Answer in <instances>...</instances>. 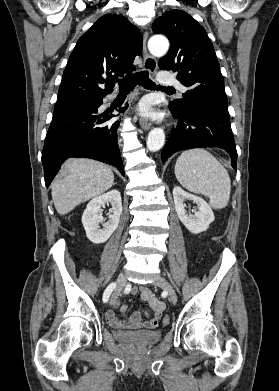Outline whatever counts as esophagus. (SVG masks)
Segmentation results:
<instances>
[{"mask_svg": "<svg viewBox=\"0 0 279 391\" xmlns=\"http://www.w3.org/2000/svg\"><path fill=\"white\" fill-rule=\"evenodd\" d=\"M147 37H148V33L145 32L143 37V67L146 71L150 73H154L157 70V61L153 56L147 53V48H146ZM140 126L144 130H149L152 126V123L146 119H141Z\"/></svg>", "mask_w": 279, "mask_h": 391, "instance_id": "obj_1", "label": "esophagus"}]
</instances>
